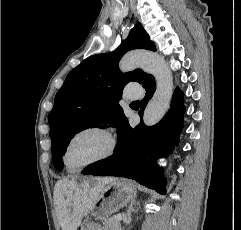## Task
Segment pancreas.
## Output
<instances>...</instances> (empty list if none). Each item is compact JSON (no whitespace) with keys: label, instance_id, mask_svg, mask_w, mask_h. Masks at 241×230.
<instances>
[{"label":"pancreas","instance_id":"obj_1","mask_svg":"<svg viewBox=\"0 0 241 230\" xmlns=\"http://www.w3.org/2000/svg\"><path fill=\"white\" fill-rule=\"evenodd\" d=\"M104 230H121L119 221L116 220L115 216L110 217L104 222Z\"/></svg>","mask_w":241,"mask_h":230}]
</instances>
